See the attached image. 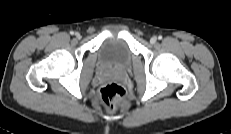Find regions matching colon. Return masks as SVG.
I'll return each instance as SVG.
<instances>
[{
	"instance_id": "obj_1",
	"label": "colon",
	"mask_w": 231,
	"mask_h": 134,
	"mask_svg": "<svg viewBox=\"0 0 231 134\" xmlns=\"http://www.w3.org/2000/svg\"><path fill=\"white\" fill-rule=\"evenodd\" d=\"M100 100L108 110H114L124 100V89L116 84L110 83L101 88Z\"/></svg>"
}]
</instances>
